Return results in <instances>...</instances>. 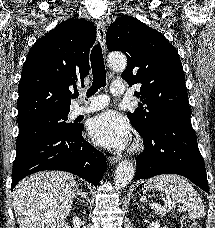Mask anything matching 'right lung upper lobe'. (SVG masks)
Returning <instances> with one entry per match:
<instances>
[{
    "instance_id": "cb5924a9",
    "label": "right lung upper lobe",
    "mask_w": 215,
    "mask_h": 228,
    "mask_svg": "<svg viewBox=\"0 0 215 228\" xmlns=\"http://www.w3.org/2000/svg\"><path fill=\"white\" fill-rule=\"evenodd\" d=\"M95 26L71 18L41 37L24 63L18 93V123L70 111L71 91L89 72L88 55Z\"/></svg>"
}]
</instances>
